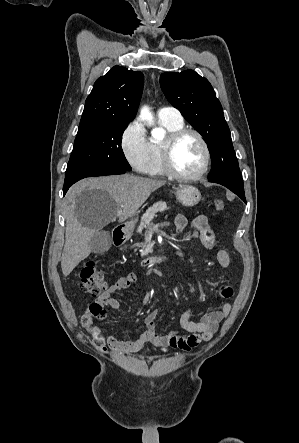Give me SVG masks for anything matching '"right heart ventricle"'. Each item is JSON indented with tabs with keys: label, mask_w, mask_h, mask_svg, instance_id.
I'll list each match as a JSON object with an SVG mask.
<instances>
[{
	"label": "right heart ventricle",
	"mask_w": 299,
	"mask_h": 443,
	"mask_svg": "<svg viewBox=\"0 0 299 443\" xmlns=\"http://www.w3.org/2000/svg\"><path fill=\"white\" fill-rule=\"evenodd\" d=\"M160 121L161 124L166 128V130L169 133L181 129L184 126L183 121L174 122L162 119H160ZM162 143L163 141H157V140L149 141V164L145 173L150 176H162L166 173L162 164V154H161Z\"/></svg>",
	"instance_id": "obj_1"
}]
</instances>
